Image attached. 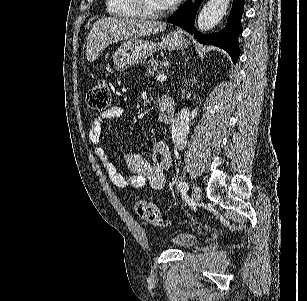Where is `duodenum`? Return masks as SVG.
I'll list each match as a JSON object with an SVG mask.
<instances>
[{"label":"duodenum","instance_id":"duodenum-1","mask_svg":"<svg viewBox=\"0 0 307 301\" xmlns=\"http://www.w3.org/2000/svg\"><path fill=\"white\" fill-rule=\"evenodd\" d=\"M175 116V102L169 96H163L159 103V120L163 123H170Z\"/></svg>","mask_w":307,"mask_h":301}]
</instances>
